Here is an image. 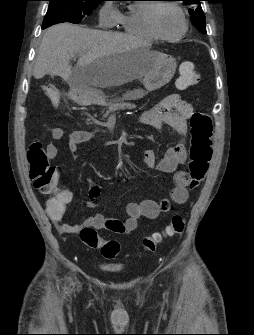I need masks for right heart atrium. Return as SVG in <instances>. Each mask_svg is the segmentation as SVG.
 I'll return each mask as SVG.
<instances>
[{
    "instance_id": "right-heart-atrium-1",
    "label": "right heart atrium",
    "mask_w": 254,
    "mask_h": 335,
    "mask_svg": "<svg viewBox=\"0 0 254 335\" xmlns=\"http://www.w3.org/2000/svg\"><path fill=\"white\" fill-rule=\"evenodd\" d=\"M119 14L120 12L111 2H105L99 10V19L101 25L107 27L117 23Z\"/></svg>"
}]
</instances>
